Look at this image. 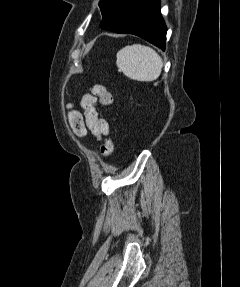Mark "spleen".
<instances>
[{
    "label": "spleen",
    "mask_w": 240,
    "mask_h": 287,
    "mask_svg": "<svg viewBox=\"0 0 240 287\" xmlns=\"http://www.w3.org/2000/svg\"><path fill=\"white\" fill-rule=\"evenodd\" d=\"M116 65L123 74L136 81L156 80L162 71L163 61L158 53L145 45H128L118 51Z\"/></svg>",
    "instance_id": "obj_1"
}]
</instances>
